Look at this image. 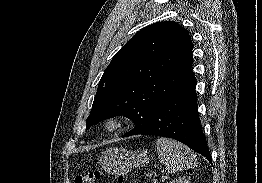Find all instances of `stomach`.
Listing matches in <instances>:
<instances>
[{"label": "stomach", "instance_id": "stomach-1", "mask_svg": "<svg viewBox=\"0 0 262 183\" xmlns=\"http://www.w3.org/2000/svg\"><path fill=\"white\" fill-rule=\"evenodd\" d=\"M102 168L109 174L125 175L132 169L149 163L145 150L130 151L124 148H110L99 159Z\"/></svg>", "mask_w": 262, "mask_h": 183}]
</instances>
